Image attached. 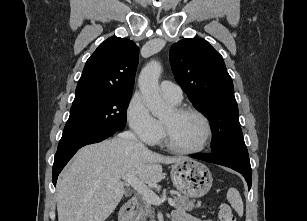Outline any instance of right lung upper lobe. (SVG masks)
Segmentation results:
<instances>
[{
  "mask_svg": "<svg viewBox=\"0 0 307 221\" xmlns=\"http://www.w3.org/2000/svg\"><path fill=\"white\" fill-rule=\"evenodd\" d=\"M139 48L127 39L110 37L87 60L74 102L110 93H132Z\"/></svg>",
  "mask_w": 307,
  "mask_h": 221,
  "instance_id": "cb5924a9",
  "label": "right lung upper lobe"
}]
</instances>
